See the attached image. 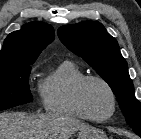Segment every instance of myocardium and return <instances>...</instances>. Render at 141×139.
Segmentation results:
<instances>
[{
	"label": "myocardium",
	"instance_id": "myocardium-1",
	"mask_svg": "<svg viewBox=\"0 0 141 139\" xmlns=\"http://www.w3.org/2000/svg\"><path fill=\"white\" fill-rule=\"evenodd\" d=\"M91 81H97L101 83L102 85H104L111 96L112 109H111L110 114L104 118H96L92 116L88 112L85 106L84 98H83L84 88L86 84ZM74 100H75L77 108L82 113V115L85 117V119H88L90 121L97 122V123H102V122H106L110 120L113 117V115L115 114L116 109H117V97H116L113 87L106 79H104L101 76H97V75H85L76 83L74 87Z\"/></svg>",
	"mask_w": 141,
	"mask_h": 139
}]
</instances>
